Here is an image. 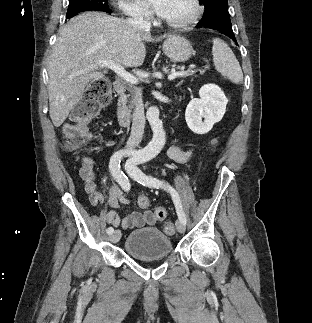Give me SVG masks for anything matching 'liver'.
<instances>
[{
	"mask_svg": "<svg viewBox=\"0 0 312 323\" xmlns=\"http://www.w3.org/2000/svg\"><path fill=\"white\" fill-rule=\"evenodd\" d=\"M152 40L147 32H138L125 20L104 12H84L68 20L58 30L48 64L53 126L59 128L65 122L91 80L104 78L105 72H97L100 60L138 68L146 56L144 44Z\"/></svg>",
	"mask_w": 312,
	"mask_h": 323,
	"instance_id": "1",
	"label": "liver"
}]
</instances>
